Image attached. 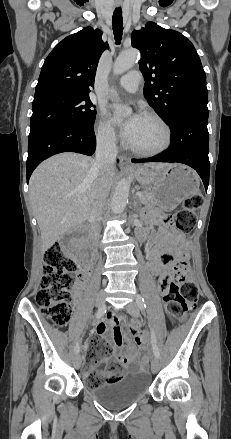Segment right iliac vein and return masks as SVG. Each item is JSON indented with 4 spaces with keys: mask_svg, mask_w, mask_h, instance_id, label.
<instances>
[{
    "mask_svg": "<svg viewBox=\"0 0 231 439\" xmlns=\"http://www.w3.org/2000/svg\"><path fill=\"white\" fill-rule=\"evenodd\" d=\"M96 306H97L99 309H102L103 311L106 310V306H105V294H104L103 291H100V292L97 294V297H96ZM103 311L99 313V318L104 314ZM81 363H82L81 355H80L79 353H76V355H75V357H74V366H75V368H76V369H79L80 366H81Z\"/></svg>",
    "mask_w": 231,
    "mask_h": 439,
    "instance_id": "obj_1",
    "label": "right iliac vein"
}]
</instances>
